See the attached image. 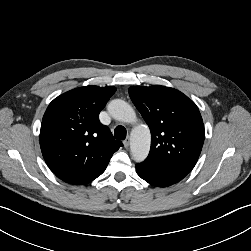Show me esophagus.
<instances>
[{"mask_svg": "<svg viewBox=\"0 0 251 251\" xmlns=\"http://www.w3.org/2000/svg\"><path fill=\"white\" fill-rule=\"evenodd\" d=\"M123 144H124V147H125V148H128V147H129V144H130L129 138H126V139L124 140Z\"/></svg>", "mask_w": 251, "mask_h": 251, "instance_id": "obj_1", "label": "esophagus"}]
</instances>
